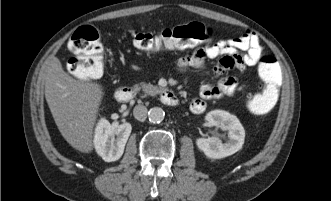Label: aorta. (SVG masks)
Instances as JSON below:
<instances>
[{
    "label": "aorta",
    "instance_id": "1",
    "mask_svg": "<svg viewBox=\"0 0 331 201\" xmlns=\"http://www.w3.org/2000/svg\"><path fill=\"white\" fill-rule=\"evenodd\" d=\"M148 117L152 123H160L165 117V112L160 107H153L148 112Z\"/></svg>",
    "mask_w": 331,
    "mask_h": 201
}]
</instances>
